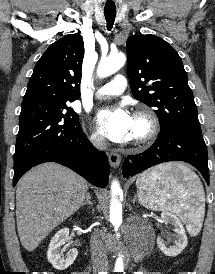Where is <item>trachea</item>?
<instances>
[{
    "label": "trachea",
    "instance_id": "1",
    "mask_svg": "<svg viewBox=\"0 0 215 274\" xmlns=\"http://www.w3.org/2000/svg\"><path fill=\"white\" fill-rule=\"evenodd\" d=\"M116 13H105V18L107 21V29L110 31L113 27L115 21Z\"/></svg>",
    "mask_w": 215,
    "mask_h": 274
}]
</instances>
